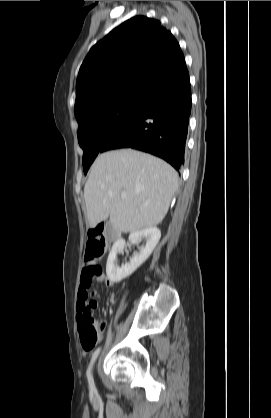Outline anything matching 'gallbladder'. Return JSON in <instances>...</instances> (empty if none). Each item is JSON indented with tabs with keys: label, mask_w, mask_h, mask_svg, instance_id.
I'll list each match as a JSON object with an SVG mask.
<instances>
[{
	"label": "gallbladder",
	"mask_w": 271,
	"mask_h": 418,
	"mask_svg": "<svg viewBox=\"0 0 271 418\" xmlns=\"http://www.w3.org/2000/svg\"><path fill=\"white\" fill-rule=\"evenodd\" d=\"M106 230H107V234H108V235H114L115 237H117V236H118V232H116V231L113 229V227H112V225L110 224V222H108V223H107V228H106Z\"/></svg>",
	"instance_id": "gallbladder-1"
}]
</instances>
